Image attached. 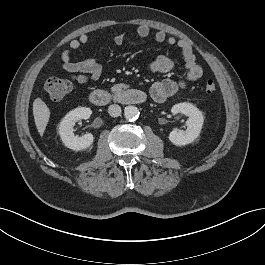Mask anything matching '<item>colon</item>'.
<instances>
[{
  "instance_id": "1",
  "label": "colon",
  "mask_w": 265,
  "mask_h": 265,
  "mask_svg": "<svg viewBox=\"0 0 265 265\" xmlns=\"http://www.w3.org/2000/svg\"><path fill=\"white\" fill-rule=\"evenodd\" d=\"M44 89L52 101H61L70 92L71 85L67 80L50 77L45 81ZM204 90L206 94L213 95L217 91V86L209 80L206 82Z\"/></svg>"
}]
</instances>
